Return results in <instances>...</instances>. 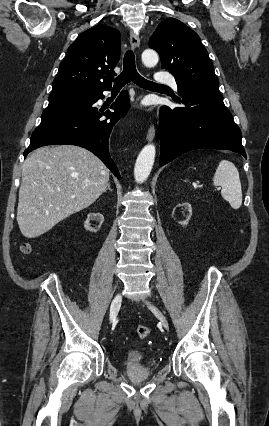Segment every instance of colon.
Wrapping results in <instances>:
<instances>
[{
  "label": "colon",
  "mask_w": 269,
  "mask_h": 426,
  "mask_svg": "<svg viewBox=\"0 0 269 426\" xmlns=\"http://www.w3.org/2000/svg\"><path fill=\"white\" fill-rule=\"evenodd\" d=\"M22 250H23V252H29L30 246L28 244H23L22 245ZM135 331H136V335L140 339H146L150 335V329L146 325H142V324L137 325Z\"/></svg>",
  "instance_id": "obj_1"
}]
</instances>
